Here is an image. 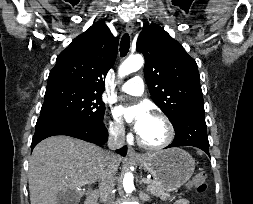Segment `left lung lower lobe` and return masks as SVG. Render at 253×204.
Wrapping results in <instances>:
<instances>
[{
    "mask_svg": "<svg viewBox=\"0 0 253 204\" xmlns=\"http://www.w3.org/2000/svg\"><path fill=\"white\" fill-rule=\"evenodd\" d=\"M204 114V110H195L185 115L174 126L175 139L166 148L194 146L209 155V141Z\"/></svg>",
    "mask_w": 253,
    "mask_h": 204,
    "instance_id": "0a47b994",
    "label": "left lung lower lobe"
}]
</instances>
